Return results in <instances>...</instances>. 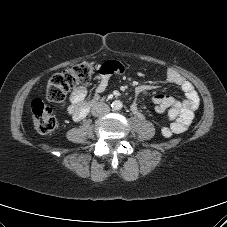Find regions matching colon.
I'll return each instance as SVG.
<instances>
[{"label":"colon","mask_w":227,"mask_h":227,"mask_svg":"<svg viewBox=\"0 0 227 227\" xmlns=\"http://www.w3.org/2000/svg\"><path fill=\"white\" fill-rule=\"evenodd\" d=\"M96 69L93 61H83L69 69L56 73L50 77L46 88L48 101L63 104L66 94L79 84L88 83ZM32 121L40 134H50L58 126L53 110L43 100L37 98L31 104Z\"/></svg>","instance_id":"colon-1"}]
</instances>
